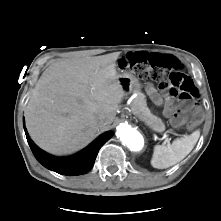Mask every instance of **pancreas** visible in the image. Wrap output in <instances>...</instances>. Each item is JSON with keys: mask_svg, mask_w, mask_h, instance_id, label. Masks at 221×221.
Wrapping results in <instances>:
<instances>
[{"mask_svg": "<svg viewBox=\"0 0 221 221\" xmlns=\"http://www.w3.org/2000/svg\"><path fill=\"white\" fill-rule=\"evenodd\" d=\"M131 110L136 116H138L155 131L161 132L164 130L165 125L163 121L159 117L153 115L150 109L147 107L144 94L138 93L137 97L131 103Z\"/></svg>", "mask_w": 221, "mask_h": 221, "instance_id": "1", "label": "pancreas"}]
</instances>
